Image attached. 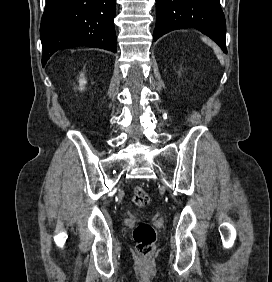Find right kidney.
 Masks as SVG:
<instances>
[{
    "mask_svg": "<svg viewBox=\"0 0 272 282\" xmlns=\"http://www.w3.org/2000/svg\"><path fill=\"white\" fill-rule=\"evenodd\" d=\"M79 83H80V90L82 91L84 89V85L86 84V80L83 74L80 75Z\"/></svg>",
    "mask_w": 272,
    "mask_h": 282,
    "instance_id": "1",
    "label": "right kidney"
}]
</instances>
